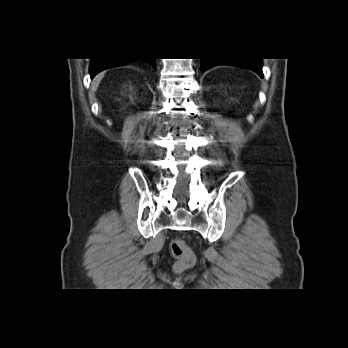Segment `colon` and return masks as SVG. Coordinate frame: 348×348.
<instances>
[{
	"mask_svg": "<svg viewBox=\"0 0 348 348\" xmlns=\"http://www.w3.org/2000/svg\"><path fill=\"white\" fill-rule=\"evenodd\" d=\"M170 249L172 256L176 259L174 268L177 272L184 271L194 264L195 256L183 240H173Z\"/></svg>",
	"mask_w": 348,
	"mask_h": 348,
	"instance_id": "5ec220e1",
	"label": "colon"
}]
</instances>
